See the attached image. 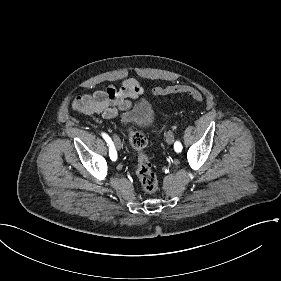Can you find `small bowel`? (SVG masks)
<instances>
[{
	"label": "small bowel",
	"mask_w": 281,
	"mask_h": 281,
	"mask_svg": "<svg viewBox=\"0 0 281 281\" xmlns=\"http://www.w3.org/2000/svg\"><path fill=\"white\" fill-rule=\"evenodd\" d=\"M143 91L141 83L136 78L129 77L111 83L105 90H97L76 97L71 107L85 115L113 119L120 113L128 111L132 102L138 100Z\"/></svg>",
	"instance_id": "small-bowel-1"
}]
</instances>
